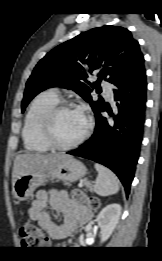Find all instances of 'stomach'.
Returning <instances> with one entry per match:
<instances>
[{"instance_id":"obj_1","label":"stomach","mask_w":162,"mask_h":261,"mask_svg":"<svg viewBox=\"0 0 162 261\" xmlns=\"http://www.w3.org/2000/svg\"><path fill=\"white\" fill-rule=\"evenodd\" d=\"M87 173L85 165L72 156L62 159L47 172H35L20 176L13 184V195L19 201L33 197L36 188L44 185L48 180H62L74 182Z\"/></svg>"}]
</instances>
